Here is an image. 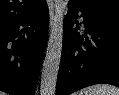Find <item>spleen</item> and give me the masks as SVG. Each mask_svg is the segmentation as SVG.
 Segmentation results:
<instances>
[{
  "label": "spleen",
  "mask_w": 119,
  "mask_h": 95,
  "mask_svg": "<svg viewBox=\"0 0 119 95\" xmlns=\"http://www.w3.org/2000/svg\"><path fill=\"white\" fill-rule=\"evenodd\" d=\"M79 95H119V88L109 84H98L81 90Z\"/></svg>",
  "instance_id": "1"
}]
</instances>
